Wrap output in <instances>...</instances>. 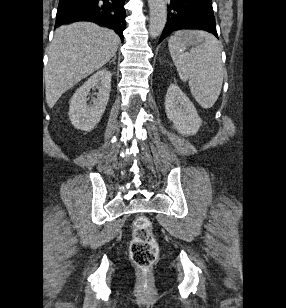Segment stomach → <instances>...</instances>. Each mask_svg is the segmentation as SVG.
I'll return each instance as SVG.
<instances>
[{"label":"stomach","mask_w":286,"mask_h":308,"mask_svg":"<svg viewBox=\"0 0 286 308\" xmlns=\"http://www.w3.org/2000/svg\"><path fill=\"white\" fill-rule=\"evenodd\" d=\"M203 41V38L196 35H187L182 39L185 46H195L199 45Z\"/></svg>","instance_id":"1"}]
</instances>
